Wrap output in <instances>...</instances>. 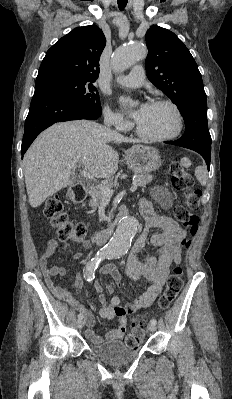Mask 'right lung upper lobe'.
<instances>
[{
  "label": "right lung upper lobe",
  "instance_id": "cb5924a9",
  "mask_svg": "<svg viewBox=\"0 0 232 399\" xmlns=\"http://www.w3.org/2000/svg\"><path fill=\"white\" fill-rule=\"evenodd\" d=\"M105 45V36L98 26L73 29L47 51L36 82L56 77L94 82L99 76V59Z\"/></svg>",
  "mask_w": 232,
  "mask_h": 399
}]
</instances>
